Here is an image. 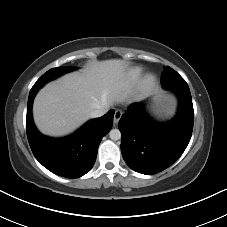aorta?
<instances>
[{"label": "aorta", "instance_id": "aorta-1", "mask_svg": "<svg viewBox=\"0 0 227 227\" xmlns=\"http://www.w3.org/2000/svg\"><path fill=\"white\" fill-rule=\"evenodd\" d=\"M109 137L111 140L117 141L121 138V132L118 129H112L109 132Z\"/></svg>", "mask_w": 227, "mask_h": 227}]
</instances>
